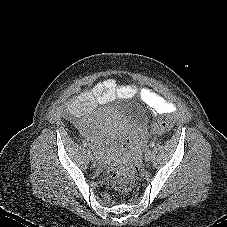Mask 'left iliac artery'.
Masks as SVG:
<instances>
[{
  "label": "left iliac artery",
  "mask_w": 227,
  "mask_h": 227,
  "mask_svg": "<svg viewBox=\"0 0 227 227\" xmlns=\"http://www.w3.org/2000/svg\"><path fill=\"white\" fill-rule=\"evenodd\" d=\"M150 146H151V147H154V146H155V143H154V142H152V143L150 144Z\"/></svg>",
  "instance_id": "44dca946"
}]
</instances>
